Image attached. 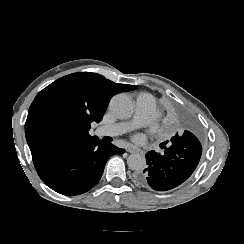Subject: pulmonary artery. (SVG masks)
Instances as JSON below:
<instances>
[{"label": "pulmonary artery", "instance_id": "pulmonary-artery-1", "mask_svg": "<svg viewBox=\"0 0 244 244\" xmlns=\"http://www.w3.org/2000/svg\"><path fill=\"white\" fill-rule=\"evenodd\" d=\"M157 113L156 98L148 92H141L136 97V108L131 122H121L101 126L95 130L97 136H118L134 131L137 127L146 125L153 120Z\"/></svg>", "mask_w": 244, "mask_h": 244}]
</instances>
